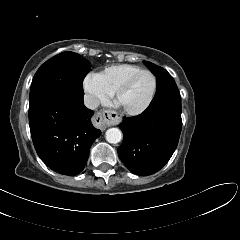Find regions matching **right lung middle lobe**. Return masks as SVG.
<instances>
[{
	"label": "right lung middle lobe",
	"mask_w": 240,
	"mask_h": 240,
	"mask_svg": "<svg viewBox=\"0 0 240 240\" xmlns=\"http://www.w3.org/2000/svg\"><path fill=\"white\" fill-rule=\"evenodd\" d=\"M90 62L74 52L60 53L37 70L30 89L29 106L54 94L83 95L82 82Z\"/></svg>",
	"instance_id": "dd1d6c3e"
}]
</instances>
